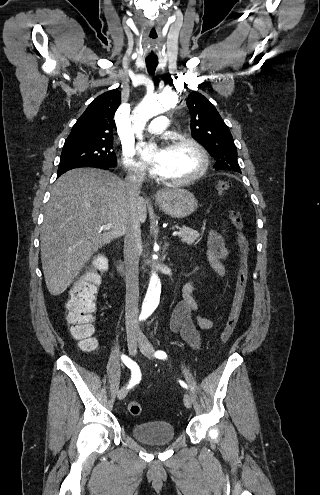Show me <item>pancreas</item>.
Masks as SVG:
<instances>
[{"label":"pancreas","instance_id":"1","mask_svg":"<svg viewBox=\"0 0 320 495\" xmlns=\"http://www.w3.org/2000/svg\"><path fill=\"white\" fill-rule=\"evenodd\" d=\"M176 228L178 229V232H180V234L178 236H179V238H181V241L183 243L191 245L195 241H198L200 238L199 232L196 230H193L190 227H186V226L178 227V226H176Z\"/></svg>","mask_w":320,"mask_h":495}]
</instances>
